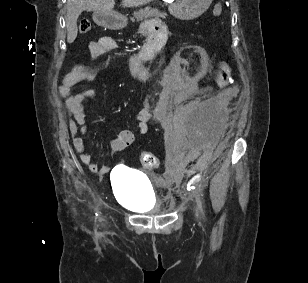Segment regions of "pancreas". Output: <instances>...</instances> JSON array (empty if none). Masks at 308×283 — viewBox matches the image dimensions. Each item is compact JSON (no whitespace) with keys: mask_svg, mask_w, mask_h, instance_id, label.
Segmentation results:
<instances>
[{"mask_svg":"<svg viewBox=\"0 0 308 283\" xmlns=\"http://www.w3.org/2000/svg\"><path fill=\"white\" fill-rule=\"evenodd\" d=\"M167 16L166 13L160 12L156 8L146 7L145 9H140L139 11H136L133 13V17L131 18L132 22H135V20L141 21L145 18H162L165 19Z\"/></svg>","mask_w":308,"mask_h":283,"instance_id":"cf45deb5","label":"pancreas"}]
</instances>
